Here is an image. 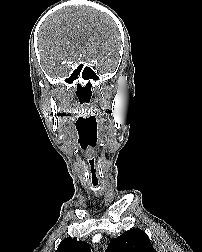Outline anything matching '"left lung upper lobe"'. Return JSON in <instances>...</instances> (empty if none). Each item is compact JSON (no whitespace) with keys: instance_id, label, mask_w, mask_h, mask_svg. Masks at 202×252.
Instances as JSON below:
<instances>
[{"instance_id":"obj_1","label":"left lung upper lobe","mask_w":202,"mask_h":252,"mask_svg":"<svg viewBox=\"0 0 202 252\" xmlns=\"http://www.w3.org/2000/svg\"><path fill=\"white\" fill-rule=\"evenodd\" d=\"M107 252H156L146 233L138 228L111 240Z\"/></svg>"}]
</instances>
